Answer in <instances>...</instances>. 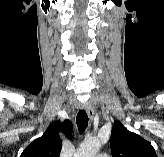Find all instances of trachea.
<instances>
[{
  "mask_svg": "<svg viewBox=\"0 0 164 157\" xmlns=\"http://www.w3.org/2000/svg\"><path fill=\"white\" fill-rule=\"evenodd\" d=\"M76 122H77L79 132L80 133L84 132L88 126V116L85 110H80L78 112L77 117H76Z\"/></svg>",
  "mask_w": 164,
  "mask_h": 157,
  "instance_id": "obj_1",
  "label": "trachea"
}]
</instances>
